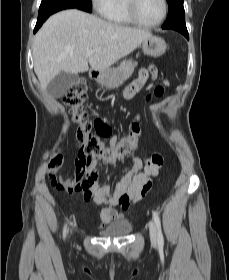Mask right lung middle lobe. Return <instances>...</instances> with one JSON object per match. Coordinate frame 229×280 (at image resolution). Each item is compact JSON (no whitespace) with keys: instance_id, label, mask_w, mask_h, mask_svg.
Returning a JSON list of instances; mask_svg holds the SVG:
<instances>
[{"instance_id":"1","label":"right lung middle lobe","mask_w":229,"mask_h":280,"mask_svg":"<svg viewBox=\"0 0 229 280\" xmlns=\"http://www.w3.org/2000/svg\"><path fill=\"white\" fill-rule=\"evenodd\" d=\"M66 1L83 4L89 8H92L91 0H42L40 7H44L46 5L55 4V3H59V2H66Z\"/></svg>"}]
</instances>
